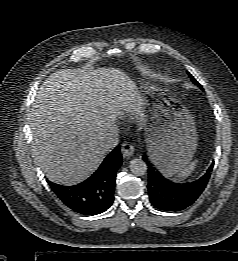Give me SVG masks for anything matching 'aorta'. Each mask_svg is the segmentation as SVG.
<instances>
[{
	"instance_id": "762f6f07",
	"label": "aorta",
	"mask_w": 238,
	"mask_h": 261,
	"mask_svg": "<svg viewBox=\"0 0 238 261\" xmlns=\"http://www.w3.org/2000/svg\"><path fill=\"white\" fill-rule=\"evenodd\" d=\"M130 171L136 176H143L147 173V165L140 158H134L129 163Z\"/></svg>"
}]
</instances>
